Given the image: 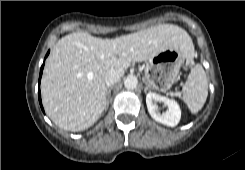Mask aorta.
<instances>
[{"label": "aorta", "instance_id": "1", "mask_svg": "<svg viewBox=\"0 0 245 170\" xmlns=\"http://www.w3.org/2000/svg\"><path fill=\"white\" fill-rule=\"evenodd\" d=\"M138 85V79L135 76H128L125 80H124V86L127 89H135Z\"/></svg>", "mask_w": 245, "mask_h": 170}]
</instances>
